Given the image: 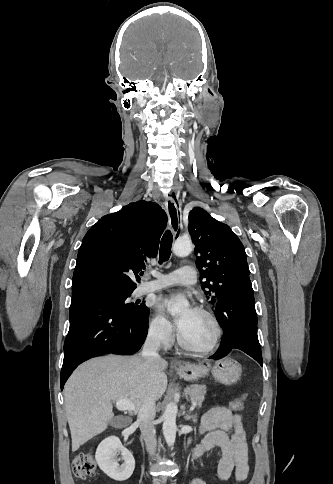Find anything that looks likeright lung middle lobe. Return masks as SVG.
I'll return each instance as SVG.
<instances>
[{"label":"right lung middle lobe","instance_id":"obj_1","mask_svg":"<svg viewBox=\"0 0 333 484\" xmlns=\"http://www.w3.org/2000/svg\"><path fill=\"white\" fill-rule=\"evenodd\" d=\"M99 293L111 300L112 304L119 310L136 317L137 319H146L149 316V309L144 303H126L125 300L132 292H117L113 290H99Z\"/></svg>","mask_w":333,"mask_h":484}]
</instances>
